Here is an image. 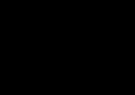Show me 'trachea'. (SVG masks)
Returning a JSON list of instances; mask_svg holds the SVG:
<instances>
[{
	"label": "trachea",
	"instance_id": "1",
	"mask_svg": "<svg viewBox=\"0 0 135 95\" xmlns=\"http://www.w3.org/2000/svg\"><path fill=\"white\" fill-rule=\"evenodd\" d=\"M61 39H62V38H61V37H59V38H58V41H61Z\"/></svg>",
	"mask_w": 135,
	"mask_h": 95
}]
</instances>
